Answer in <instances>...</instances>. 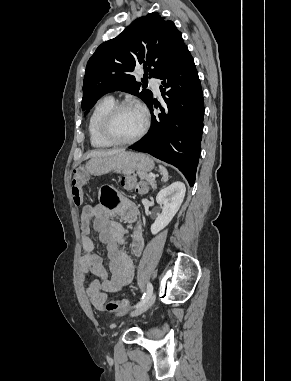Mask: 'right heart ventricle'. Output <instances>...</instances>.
Instances as JSON below:
<instances>
[{
  "label": "right heart ventricle",
  "mask_w": 291,
  "mask_h": 381,
  "mask_svg": "<svg viewBox=\"0 0 291 381\" xmlns=\"http://www.w3.org/2000/svg\"><path fill=\"white\" fill-rule=\"evenodd\" d=\"M115 104L112 97L100 99L93 108L88 122V134L91 146L97 149H105L113 145L106 141L100 134L99 123L103 115Z\"/></svg>",
  "instance_id": "1"
}]
</instances>
